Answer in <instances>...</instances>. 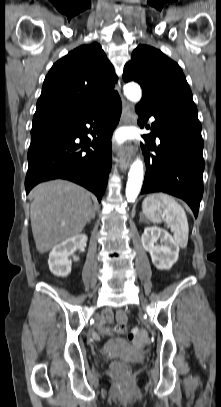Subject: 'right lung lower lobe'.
<instances>
[{
  "instance_id": "obj_1",
  "label": "right lung lower lobe",
  "mask_w": 221,
  "mask_h": 407,
  "mask_svg": "<svg viewBox=\"0 0 221 407\" xmlns=\"http://www.w3.org/2000/svg\"><path fill=\"white\" fill-rule=\"evenodd\" d=\"M121 110L117 98L80 117L32 128L26 193L40 182L62 178L92 191L100 202L111 169V136Z\"/></svg>"
}]
</instances>
